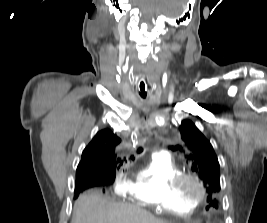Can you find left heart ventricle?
Returning <instances> with one entry per match:
<instances>
[{
	"label": "left heart ventricle",
	"instance_id": "b2bd125f",
	"mask_svg": "<svg viewBox=\"0 0 267 223\" xmlns=\"http://www.w3.org/2000/svg\"><path fill=\"white\" fill-rule=\"evenodd\" d=\"M191 189L193 192H195V193L197 192V188L195 186H191Z\"/></svg>",
	"mask_w": 267,
	"mask_h": 223
}]
</instances>
